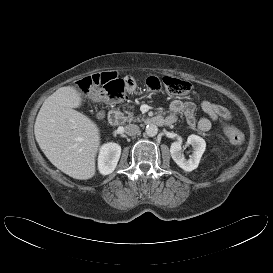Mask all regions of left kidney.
<instances>
[{
	"instance_id": "5707ae66",
	"label": "left kidney",
	"mask_w": 273,
	"mask_h": 273,
	"mask_svg": "<svg viewBox=\"0 0 273 273\" xmlns=\"http://www.w3.org/2000/svg\"><path fill=\"white\" fill-rule=\"evenodd\" d=\"M188 144L193 147V154L186 159L181 153V142H173L170 147L171 157L174 162L185 171H192L199 165L200 159L205 151L206 142L197 135H190L187 139Z\"/></svg>"
}]
</instances>
